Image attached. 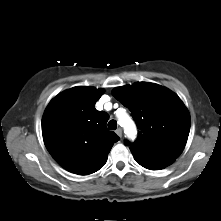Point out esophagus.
<instances>
[{
  "instance_id": "obj_1",
  "label": "esophagus",
  "mask_w": 221,
  "mask_h": 221,
  "mask_svg": "<svg viewBox=\"0 0 221 221\" xmlns=\"http://www.w3.org/2000/svg\"><path fill=\"white\" fill-rule=\"evenodd\" d=\"M116 134L118 135L119 138H122V129L121 128H118L116 130Z\"/></svg>"
}]
</instances>
